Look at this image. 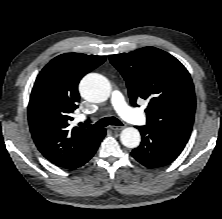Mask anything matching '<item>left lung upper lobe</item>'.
Masks as SVG:
<instances>
[{"mask_svg":"<svg viewBox=\"0 0 222 219\" xmlns=\"http://www.w3.org/2000/svg\"><path fill=\"white\" fill-rule=\"evenodd\" d=\"M124 77L130 102L147 99V126L188 141L195 114L194 86L189 72L172 55L154 47L110 56Z\"/></svg>","mask_w":222,"mask_h":219,"instance_id":"5c2ea615","label":"left lung upper lobe"}]
</instances>
